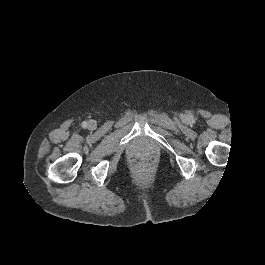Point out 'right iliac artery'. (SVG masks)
Returning a JSON list of instances; mask_svg holds the SVG:
<instances>
[{
  "instance_id": "1",
  "label": "right iliac artery",
  "mask_w": 265,
  "mask_h": 265,
  "mask_svg": "<svg viewBox=\"0 0 265 265\" xmlns=\"http://www.w3.org/2000/svg\"><path fill=\"white\" fill-rule=\"evenodd\" d=\"M82 127L83 128H86L87 127V122L86 121L82 122Z\"/></svg>"
}]
</instances>
